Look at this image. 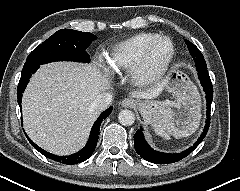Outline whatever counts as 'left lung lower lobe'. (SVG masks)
Masks as SVG:
<instances>
[{"mask_svg": "<svg viewBox=\"0 0 240 191\" xmlns=\"http://www.w3.org/2000/svg\"><path fill=\"white\" fill-rule=\"evenodd\" d=\"M197 71L200 83L203 86L204 92L206 94L207 101V113H206L207 119L203 133L198 138V140L193 144V146L189 147L188 149L181 153L171 154L153 150L144 139L142 128H140V130H138L134 135V146L137 154H139L145 160L156 164H168L177 162L188 156L206 136L210 125V111L213 99V86L207 70L197 68Z\"/></svg>", "mask_w": 240, "mask_h": 191, "instance_id": "0a47b994", "label": "left lung lower lobe"}]
</instances>
